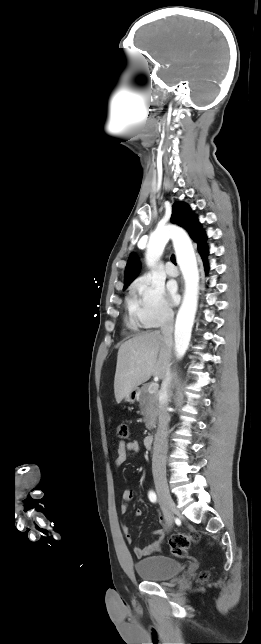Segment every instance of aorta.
I'll return each mask as SVG.
<instances>
[{
	"label": "aorta",
	"instance_id": "762f6f07",
	"mask_svg": "<svg viewBox=\"0 0 261 644\" xmlns=\"http://www.w3.org/2000/svg\"><path fill=\"white\" fill-rule=\"evenodd\" d=\"M174 233L171 230H156L149 239L145 253L146 264L153 267L163 254L165 245ZM177 262L185 280V294L175 324V352L182 358L189 346L197 310L198 269L194 251L182 247L176 251Z\"/></svg>",
	"mask_w": 261,
	"mask_h": 644
}]
</instances>
